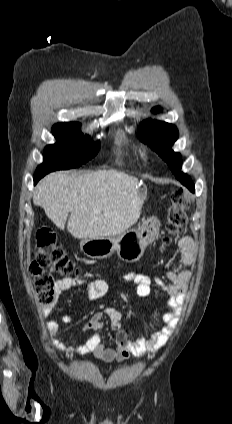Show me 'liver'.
I'll return each mask as SVG.
<instances>
[{
  "label": "liver",
  "mask_w": 232,
  "mask_h": 424,
  "mask_svg": "<svg viewBox=\"0 0 232 424\" xmlns=\"http://www.w3.org/2000/svg\"><path fill=\"white\" fill-rule=\"evenodd\" d=\"M145 197L138 179L122 171H58L39 182L33 203L59 229L64 230L67 222L74 238L88 239L124 233L139 219Z\"/></svg>",
  "instance_id": "obj_1"
}]
</instances>
